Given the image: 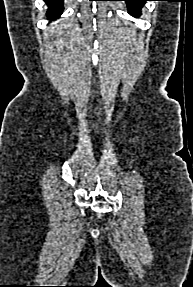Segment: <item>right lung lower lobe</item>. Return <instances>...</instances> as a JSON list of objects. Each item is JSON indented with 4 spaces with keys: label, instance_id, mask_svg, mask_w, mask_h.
<instances>
[{
    "label": "right lung lower lobe",
    "instance_id": "1",
    "mask_svg": "<svg viewBox=\"0 0 193 287\" xmlns=\"http://www.w3.org/2000/svg\"><path fill=\"white\" fill-rule=\"evenodd\" d=\"M48 5L47 17L58 18L63 11V0H45Z\"/></svg>",
    "mask_w": 193,
    "mask_h": 287
}]
</instances>
